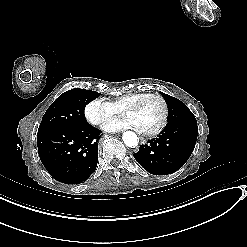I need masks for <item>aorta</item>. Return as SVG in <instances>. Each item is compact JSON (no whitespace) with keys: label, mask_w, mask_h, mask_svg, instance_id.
Wrapping results in <instances>:
<instances>
[{"label":"aorta","mask_w":247,"mask_h":247,"mask_svg":"<svg viewBox=\"0 0 247 247\" xmlns=\"http://www.w3.org/2000/svg\"><path fill=\"white\" fill-rule=\"evenodd\" d=\"M123 142L126 146L135 148L138 145L139 139L137 135L132 131H126L123 134Z\"/></svg>","instance_id":"obj_1"}]
</instances>
